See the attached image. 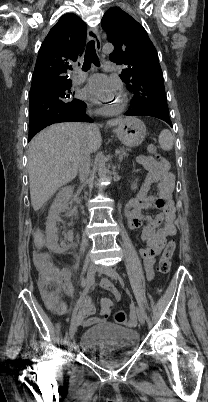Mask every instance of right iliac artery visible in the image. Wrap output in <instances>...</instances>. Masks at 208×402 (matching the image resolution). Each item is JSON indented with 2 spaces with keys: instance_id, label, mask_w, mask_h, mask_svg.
<instances>
[{
  "instance_id": "1",
  "label": "right iliac artery",
  "mask_w": 208,
  "mask_h": 402,
  "mask_svg": "<svg viewBox=\"0 0 208 402\" xmlns=\"http://www.w3.org/2000/svg\"><path fill=\"white\" fill-rule=\"evenodd\" d=\"M93 284H94V280H93L92 283L86 285V287H85V289H84V291L82 293V296L80 297V299L78 300L77 304L75 305L74 312H73L72 317H71V323H73V321L76 318L77 311L79 310V308L81 306V302H82L83 297L89 292V290L92 288Z\"/></svg>"
}]
</instances>
